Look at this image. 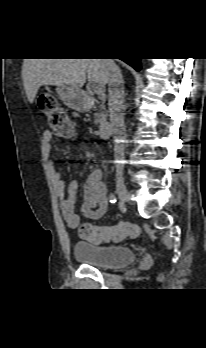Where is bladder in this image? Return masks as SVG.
I'll list each match as a JSON object with an SVG mask.
<instances>
[{
	"label": "bladder",
	"mask_w": 206,
	"mask_h": 348,
	"mask_svg": "<svg viewBox=\"0 0 206 348\" xmlns=\"http://www.w3.org/2000/svg\"><path fill=\"white\" fill-rule=\"evenodd\" d=\"M75 258L86 265L115 267L136 261L134 251L125 246L76 242L73 246Z\"/></svg>",
	"instance_id": "1"
}]
</instances>
